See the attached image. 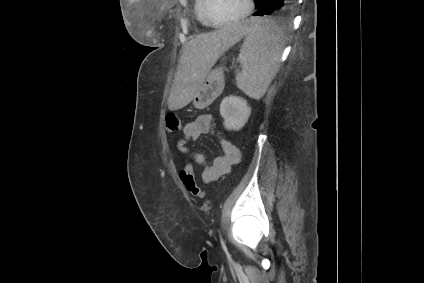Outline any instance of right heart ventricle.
I'll return each mask as SVG.
<instances>
[{
	"label": "right heart ventricle",
	"instance_id": "e07e8e85",
	"mask_svg": "<svg viewBox=\"0 0 424 283\" xmlns=\"http://www.w3.org/2000/svg\"><path fill=\"white\" fill-rule=\"evenodd\" d=\"M203 9H204V0H195L194 1V14H195L196 19L201 25L208 26V24L206 23V21L204 19Z\"/></svg>",
	"mask_w": 424,
	"mask_h": 283
}]
</instances>
